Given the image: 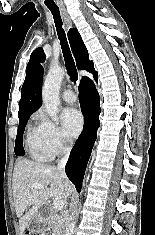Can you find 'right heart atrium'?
<instances>
[{
  "mask_svg": "<svg viewBox=\"0 0 155 235\" xmlns=\"http://www.w3.org/2000/svg\"><path fill=\"white\" fill-rule=\"evenodd\" d=\"M37 130L43 145L52 156L64 153L70 148V141L60 127L44 115H39Z\"/></svg>",
  "mask_w": 155,
  "mask_h": 235,
  "instance_id": "d8ad5b80",
  "label": "right heart atrium"
}]
</instances>
